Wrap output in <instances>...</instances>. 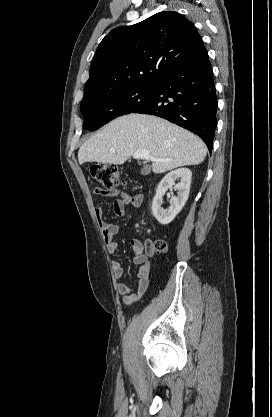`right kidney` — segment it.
<instances>
[{
	"label": "right kidney",
	"instance_id": "ca27d5eb",
	"mask_svg": "<svg viewBox=\"0 0 272 417\" xmlns=\"http://www.w3.org/2000/svg\"><path fill=\"white\" fill-rule=\"evenodd\" d=\"M191 177L190 169L179 168L168 173L159 183L152 202V212L160 224L167 225L172 222L184 207L189 196ZM176 180L180 182L175 185ZM173 186L178 190L177 197L171 198L170 207L165 210L162 208L163 196Z\"/></svg>",
	"mask_w": 272,
	"mask_h": 417
}]
</instances>
